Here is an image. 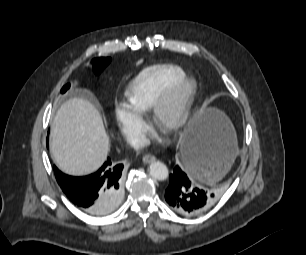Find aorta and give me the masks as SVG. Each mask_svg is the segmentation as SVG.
I'll return each mask as SVG.
<instances>
[{"instance_id": "aorta-1", "label": "aorta", "mask_w": 306, "mask_h": 255, "mask_svg": "<svg viewBox=\"0 0 306 255\" xmlns=\"http://www.w3.org/2000/svg\"><path fill=\"white\" fill-rule=\"evenodd\" d=\"M149 174L155 180L164 181L168 178L169 171L164 163L156 161L150 164Z\"/></svg>"}]
</instances>
